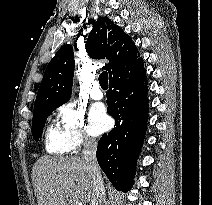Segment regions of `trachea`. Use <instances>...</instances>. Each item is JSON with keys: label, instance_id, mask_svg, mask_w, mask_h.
Wrapping results in <instances>:
<instances>
[{"label": "trachea", "instance_id": "1", "mask_svg": "<svg viewBox=\"0 0 212 205\" xmlns=\"http://www.w3.org/2000/svg\"><path fill=\"white\" fill-rule=\"evenodd\" d=\"M99 83H100V86H101L103 89L108 88V74H107L106 71L102 72V73L99 75Z\"/></svg>", "mask_w": 212, "mask_h": 205}]
</instances>
